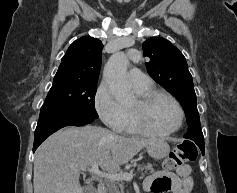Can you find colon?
<instances>
[{"label":"colon","mask_w":237,"mask_h":193,"mask_svg":"<svg viewBox=\"0 0 237 193\" xmlns=\"http://www.w3.org/2000/svg\"><path fill=\"white\" fill-rule=\"evenodd\" d=\"M197 155L198 151L194 143L189 141L180 143L164 160L163 167L166 171L176 170L188 162L195 161Z\"/></svg>","instance_id":"1"}]
</instances>
